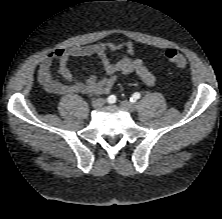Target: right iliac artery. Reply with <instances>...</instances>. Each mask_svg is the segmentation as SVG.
I'll return each mask as SVG.
<instances>
[{"mask_svg":"<svg viewBox=\"0 0 222 219\" xmlns=\"http://www.w3.org/2000/svg\"><path fill=\"white\" fill-rule=\"evenodd\" d=\"M107 100H108L109 103H115L116 102V96L111 95V96L108 97Z\"/></svg>","mask_w":222,"mask_h":219,"instance_id":"obj_1","label":"right iliac artery"}]
</instances>
